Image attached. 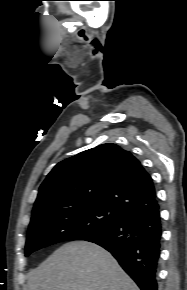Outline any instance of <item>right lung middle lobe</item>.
Wrapping results in <instances>:
<instances>
[{
    "label": "right lung middle lobe",
    "mask_w": 187,
    "mask_h": 290,
    "mask_svg": "<svg viewBox=\"0 0 187 290\" xmlns=\"http://www.w3.org/2000/svg\"><path fill=\"white\" fill-rule=\"evenodd\" d=\"M123 215L105 205H91L44 216L30 223L25 255L68 240L84 239L118 224Z\"/></svg>",
    "instance_id": "right-lung-middle-lobe-1"
}]
</instances>
